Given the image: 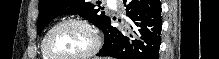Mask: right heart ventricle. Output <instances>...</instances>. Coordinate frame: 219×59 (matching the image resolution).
<instances>
[{
    "instance_id": "obj_1",
    "label": "right heart ventricle",
    "mask_w": 219,
    "mask_h": 59,
    "mask_svg": "<svg viewBox=\"0 0 219 59\" xmlns=\"http://www.w3.org/2000/svg\"><path fill=\"white\" fill-rule=\"evenodd\" d=\"M40 51H41L42 59H51V58L48 57L47 54L44 52L43 47H42V42H41V44H40Z\"/></svg>"
}]
</instances>
